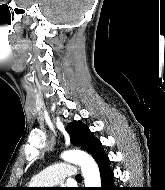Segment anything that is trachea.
<instances>
[{
    "mask_svg": "<svg viewBox=\"0 0 165 190\" xmlns=\"http://www.w3.org/2000/svg\"><path fill=\"white\" fill-rule=\"evenodd\" d=\"M76 179H81V175L78 174V175L76 176Z\"/></svg>",
    "mask_w": 165,
    "mask_h": 190,
    "instance_id": "1",
    "label": "trachea"
}]
</instances>
